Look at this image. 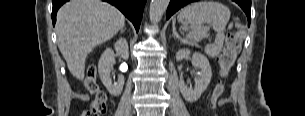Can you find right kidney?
I'll list each match as a JSON object with an SVG mask.
<instances>
[{
  "label": "right kidney",
  "instance_id": "ca27d5eb",
  "mask_svg": "<svg viewBox=\"0 0 305 116\" xmlns=\"http://www.w3.org/2000/svg\"><path fill=\"white\" fill-rule=\"evenodd\" d=\"M115 51L121 55L125 60L129 58V48L126 39L121 38L114 44ZM114 51L111 48H107L98 63V72L100 79L104 86L107 88L108 92L113 96H119L122 92L124 85V76L119 75L117 83H112L110 77V72L113 68L114 62Z\"/></svg>",
  "mask_w": 305,
  "mask_h": 116
}]
</instances>
